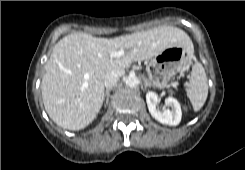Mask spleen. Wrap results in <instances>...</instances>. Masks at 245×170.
Returning <instances> with one entry per match:
<instances>
[{"instance_id": "1", "label": "spleen", "mask_w": 245, "mask_h": 170, "mask_svg": "<svg viewBox=\"0 0 245 170\" xmlns=\"http://www.w3.org/2000/svg\"><path fill=\"white\" fill-rule=\"evenodd\" d=\"M186 94L195 112L205 104L208 96V83L204 67L199 62H196L192 67Z\"/></svg>"}]
</instances>
